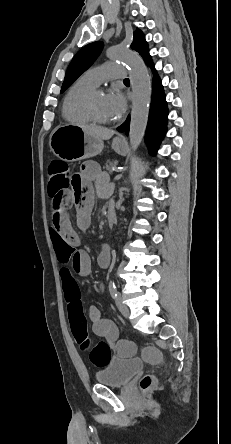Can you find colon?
Masks as SVG:
<instances>
[{
    "mask_svg": "<svg viewBox=\"0 0 231 444\" xmlns=\"http://www.w3.org/2000/svg\"><path fill=\"white\" fill-rule=\"evenodd\" d=\"M49 184L48 193L51 198V206L58 208L65 189L70 188L77 177L65 162L53 161L48 168ZM69 319L72 335L80 346L81 350L86 352L90 361L97 367L105 366L111 357V350L118 352H131L134 350V343L124 340L119 343L108 344L99 342L93 344L88 335L87 319L83 312V306L78 297H69ZM144 359L151 363L161 361V352L153 346H146L142 349ZM155 383L151 375H145L140 381V386L144 391L149 390Z\"/></svg>",
    "mask_w": 231,
    "mask_h": 444,
    "instance_id": "colon-1",
    "label": "colon"
}]
</instances>
